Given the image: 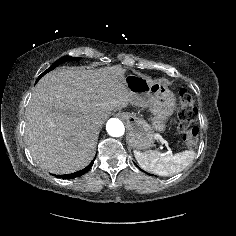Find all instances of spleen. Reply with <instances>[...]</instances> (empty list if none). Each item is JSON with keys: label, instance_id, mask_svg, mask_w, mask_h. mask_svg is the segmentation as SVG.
Listing matches in <instances>:
<instances>
[{"label": "spleen", "instance_id": "spleen-1", "mask_svg": "<svg viewBox=\"0 0 236 236\" xmlns=\"http://www.w3.org/2000/svg\"><path fill=\"white\" fill-rule=\"evenodd\" d=\"M134 156L142 169L161 176H172L192 163L195 158V151L185 150L173 155L157 150L143 153L135 150Z\"/></svg>", "mask_w": 236, "mask_h": 236}]
</instances>
